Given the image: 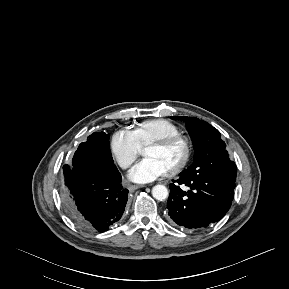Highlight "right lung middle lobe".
Returning a JSON list of instances; mask_svg holds the SVG:
<instances>
[{"label":"right lung middle lobe","mask_w":289,"mask_h":289,"mask_svg":"<svg viewBox=\"0 0 289 289\" xmlns=\"http://www.w3.org/2000/svg\"><path fill=\"white\" fill-rule=\"evenodd\" d=\"M109 137L105 132H95L88 136V140L81 143L75 152L72 165H65L64 168L75 166L84 157L92 158L103 165H113Z\"/></svg>","instance_id":"1"}]
</instances>
